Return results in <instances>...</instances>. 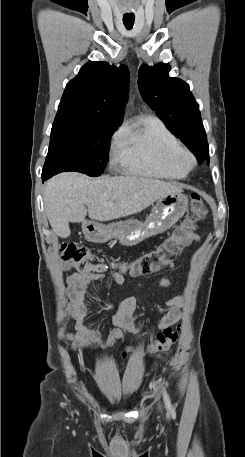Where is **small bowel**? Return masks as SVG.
Masks as SVG:
<instances>
[{
    "label": "small bowel",
    "mask_w": 245,
    "mask_h": 457,
    "mask_svg": "<svg viewBox=\"0 0 245 457\" xmlns=\"http://www.w3.org/2000/svg\"><path fill=\"white\" fill-rule=\"evenodd\" d=\"M199 239L198 234L190 233L185 244L199 241ZM60 268L62 270H69L71 269V264L61 262ZM165 268L175 270L177 267L173 260H167L154 271V274L161 272ZM106 276H110L118 284H122L124 281V276L119 272L110 270L105 266L98 269L81 271L67 279L66 284L70 298L68 313L76 321L75 332L67 334V338L74 350H97L111 347L116 342L123 339L125 335L137 333L143 328V325L136 323L132 317L136 308V299L134 297H128L119 303L116 312L112 316V324L115 328L109 333V336L105 341L98 330L85 326L84 320L87 310L83 303V296L86 292L87 285L92 282L101 281ZM158 283L165 288L173 286L172 281L167 277L159 278ZM182 304L183 300L181 297H175L168 300L166 306L169 308V311L152 328L162 330L176 323L180 318V308L182 307Z\"/></svg>",
    "instance_id": "c3829d8e"
}]
</instances>
